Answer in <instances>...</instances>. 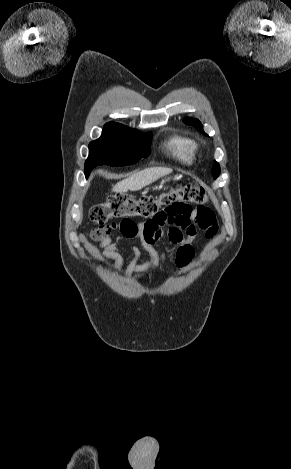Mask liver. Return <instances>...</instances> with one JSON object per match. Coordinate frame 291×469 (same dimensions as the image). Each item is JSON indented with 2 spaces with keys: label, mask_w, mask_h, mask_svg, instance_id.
<instances>
[{
  "label": "liver",
  "mask_w": 291,
  "mask_h": 469,
  "mask_svg": "<svg viewBox=\"0 0 291 469\" xmlns=\"http://www.w3.org/2000/svg\"><path fill=\"white\" fill-rule=\"evenodd\" d=\"M172 169L165 167L147 168L141 172L133 174L129 178L118 182L113 186V192L137 191L151 184L162 176L168 175Z\"/></svg>",
  "instance_id": "obj_1"
}]
</instances>
